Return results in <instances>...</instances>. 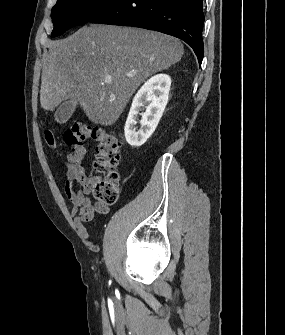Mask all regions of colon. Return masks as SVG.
I'll use <instances>...</instances> for the list:
<instances>
[{
    "mask_svg": "<svg viewBox=\"0 0 285 335\" xmlns=\"http://www.w3.org/2000/svg\"><path fill=\"white\" fill-rule=\"evenodd\" d=\"M46 144L57 147L55 134L50 129L43 131ZM64 141L71 148L67 159L69 164L79 165L85 155L84 143L91 139L96 143L95 170L102 176L91 180V189L98 202L112 205L120 193V175L117 166L120 161V143L111 133L101 127L77 122L64 132Z\"/></svg>",
    "mask_w": 285,
    "mask_h": 335,
    "instance_id": "obj_1",
    "label": "colon"
}]
</instances>
